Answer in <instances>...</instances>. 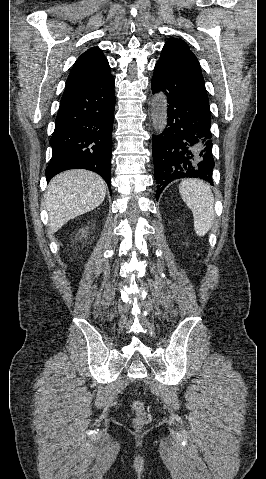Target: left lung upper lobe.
I'll return each instance as SVG.
<instances>
[{"mask_svg": "<svg viewBox=\"0 0 266 479\" xmlns=\"http://www.w3.org/2000/svg\"><path fill=\"white\" fill-rule=\"evenodd\" d=\"M158 63L187 80L205 87L198 59L182 39L168 40L162 49Z\"/></svg>", "mask_w": 266, "mask_h": 479, "instance_id": "left-lung-upper-lobe-1", "label": "left lung upper lobe"}]
</instances>
